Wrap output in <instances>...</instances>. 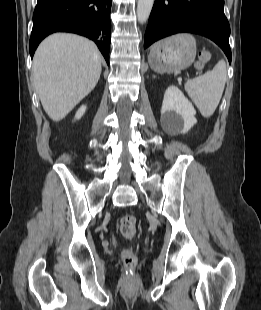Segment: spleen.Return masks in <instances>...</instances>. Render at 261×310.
Segmentation results:
<instances>
[{"label":"spleen","mask_w":261,"mask_h":310,"mask_svg":"<svg viewBox=\"0 0 261 310\" xmlns=\"http://www.w3.org/2000/svg\"><path fill=\"white\" fill-rule=\"evenodd\" d=\"M226 78V63L221 60L213 70L185 83L188 96L203 117L209 118L215 112L224 91Z\"/></svg>","instance_id":"1"}]
</instances>
